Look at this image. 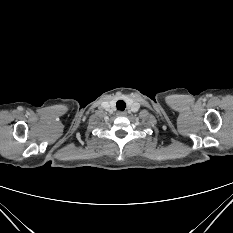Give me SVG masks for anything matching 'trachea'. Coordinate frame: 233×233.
<instances>
[{"instance_id":"3493384b","label":"trachea","mask_w":233,"mask_h":233,"mask_svg":"<svg viewBox=\"0 0 233 233\" xmlns=\"http://www.w3.org/2000/svg\"><path fill=\"white\" fill-rule=\"evenodd\" d=\"M116 107L118 110L120 111H124L125 107H126V104L123 100H119L117 103H116Z\"/></svg>"}]
</instances>
